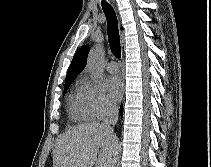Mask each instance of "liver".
Segmentation results:
<instances>
[{
  "label": "liver",
  "mask_w": 211,
  "mask_h": 167,
  "mask_svg": "<svg viewBox=\"0 0 211 167\" xmlns=\"http://www.w3.org/2000/svg\"><path fill=\"white\" fill-rule=\"evenodd\" d=\"M118 139L102 123L89 122L62 134L53 149V167H115Z\"/></svg>",
  "instance_id": "1"
}]
</instances>
